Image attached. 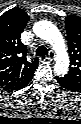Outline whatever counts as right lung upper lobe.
I'll use <instances>...</instances> for the list:
<instances>
[{
	"label": "right lung upper lobe",
	"instance_id": "1",
	"mask_svg": "<svg viewBox=\"0 0 81 124\" xmlns=\"http://www.w3.org/2000/svg\"><path fill=\"white\" fill-rule=\"evenodd\" d=\"M29 20L21 8H12L0 17V87L18 90L33 77L37 58H27V47L20 37Z\"/></svg>",
	"mask_w": 81,
	"mask_h": 124
}]
</instances>
